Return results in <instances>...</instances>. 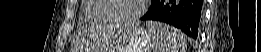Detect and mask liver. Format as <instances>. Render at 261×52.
Returning <instances> with one entry per match:
<instances>
[{
  "label": "liver",
  "mask_w": 261,
  "mask_h": 52,
  "mask_svg": "<svg viewBox=\"0 0 261 52\" xmlns=\"http://www.w3.org/2000/svg\"><path fill=\"white\" fill-rule=\"evenodd\" d=\"M128 32H130V29H126ZM120 31H116L114 29H110L107 32H103V38H102V44H101V49H110L114 48L116 39L119 35Z\"/></svg>",
  "instance_id": "6515ba94"
}]
</instances>
